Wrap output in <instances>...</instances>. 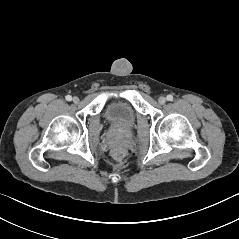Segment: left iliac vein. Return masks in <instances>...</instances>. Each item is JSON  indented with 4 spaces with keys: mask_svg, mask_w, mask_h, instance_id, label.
<instances>
[{
    "mask_svg": "<svg viewBox=\"0 0 239 239\" xmlns=\"http://www.w3.org/2000/svg\"><path fill=\"white\" fill-rule=\"evenodd\" d=\"M158 102H159L160 104H164V103L166 102V98L163 97V96H161V97H159Z\"/></svg>",
    "mask_w": 239,
    "mask_h": 239,
    "instance_id": "1",
    "label": "left iliac vein"
}]
</instances>
